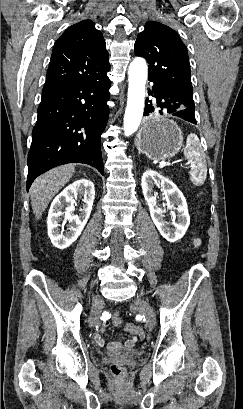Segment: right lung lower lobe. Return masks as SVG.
Returning a JSON list of instances; mask_svg holds the SVG:
<instances>
[{
  "label": "right lung lower lobe",
  "mask_w": 243,
  "mask_h": 409,
  "mask_svg": "<svg viewBox=\"0 0 243 409\" xmlns=\"http://www.w3.org/2000/svg\"><path fill=\"white\" fill-rule=\"evenodd\" d=\"M106 73L44 86L28 153L27 191L37 176L66 163L89 164L104 175L100 142L109 115Z\"/></svg>",
  "instance_id": "98d812e1"
}]
</instances>
